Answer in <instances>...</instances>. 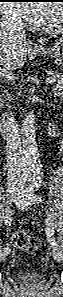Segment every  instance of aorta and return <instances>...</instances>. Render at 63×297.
Wrapping results in <instances>:
<instances>
[{"instance_id": "obj_1", "label": "aorta", "mask_w": 63, "mask_h": 297, "mask_svg": "<svg viewBox=\"0 0 63 297\" xmlns=\"http://www.w3.org/2000/svg\"><path fill=\"white\" fill-rule=\"evenodd\" d=\"M22 143L23 153L28 166L32 168H40L38 146L36 142L35 117L33 111L28 112L22 123Z\"/></svg>"}]
</instances>
